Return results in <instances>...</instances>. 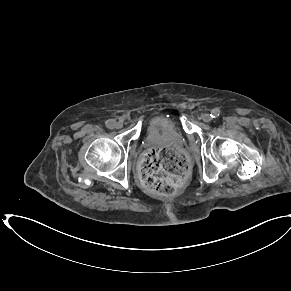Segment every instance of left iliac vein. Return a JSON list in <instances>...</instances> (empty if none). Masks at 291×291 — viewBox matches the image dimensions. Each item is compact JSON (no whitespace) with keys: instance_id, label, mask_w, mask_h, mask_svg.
<instances>
[{"instance_id":"obj_1","label":"left iliac vein","mask_w":291,"mask_h":291,"mask_svg":"<svg viewBox=\"0 0 291 291\" xmlns=\"http://www.w3.org/2000/svg\"><path fill=\"white\" fill-rule=\"evenodd\" d=\"M202 119H203V121L206 122V123H208V122H210V121L212 120L211 115H209V114H204V115L202 116Z\"/></svg>"}]
</instances>
